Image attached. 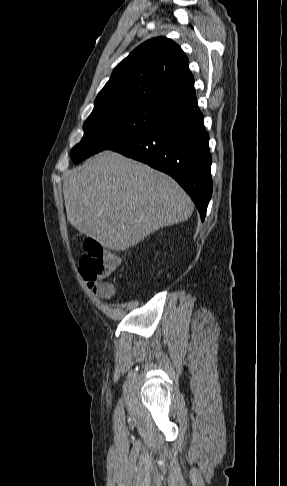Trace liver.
Here are the masks:
<instances>
[{
	"instance_id": "6515ba94",
	"label": "liver",
	"mask_w": 287,
	"mask_h": 486,
	"mask_svg": "<svg viewBox=\"0 0 287 486\" xmlns=\"http://www.w3.org/2000/svg\"><path fill=\"white\" fill-rule=\"evenodd\" d=\"M67 219L112 251L188 220L194 205L170 176L110 150L65 174Z\"/></svg>"
}]
</instances>
